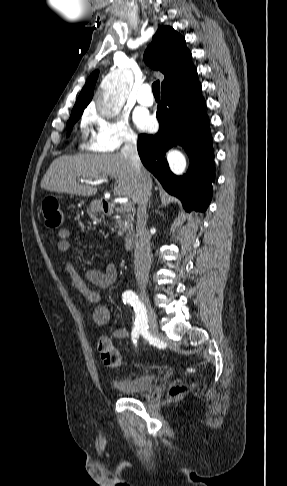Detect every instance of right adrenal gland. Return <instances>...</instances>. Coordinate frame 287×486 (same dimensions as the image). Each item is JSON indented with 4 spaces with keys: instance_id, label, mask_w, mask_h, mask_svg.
Returning <instances> with one entry per match:
<instances>
[{
    "instance_id": "obj_1",
    "label": "right adrenal gland",
    "mask_w": 287,
    "mask_h": 486,
    "mask_svg": "<svg viewBox=\"0 0 287 486\" xmlns=\"http://www.w3.org/2000/svg\"><path fill=\"white\" fill-rule=\"evenodd\" d=\"M150 205H151V201L149 202V207H150Z\"/></svg>"
}]
</instances>
